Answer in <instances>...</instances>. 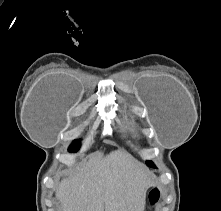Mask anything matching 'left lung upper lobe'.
I'll return each mask as SVG.
<instances>
[{
  "mask_svg": "<svg viewBox=\"0 0 221 211\" xmlns=\"http://www.w3.org/2000/svg\"><path fill=\"white\" fill-rule=\"evenodd\" d=\"M146 164H147L148 166L155 167V165L153 164L152 161H147Z\"/></svg>",
  "mask_w": 221,
  "mask_h": 211,
  "instance_id": "left-lung-upper-lobe-1",
  "label": "left lung upper lobe"
}]
</instances>
